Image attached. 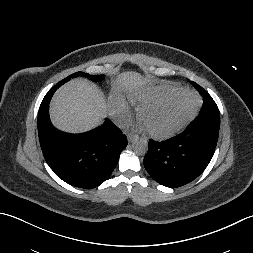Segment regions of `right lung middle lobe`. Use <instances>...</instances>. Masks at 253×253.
Masks as SVG:
<instances>
[{
	"instance_id": "obj_1",
	"label": "right lung middle lobe",
	"mask_w": 253,
	"mask_h": 253,
	"mask_svg": "<svg viewBox=\"0 0 253 253\" xmlns=\"http://www.w3.org/2000/svg\"><path fill=\"white\" fill-rule=\"evenodd\" d=\"M77 76H84L92 81H102L104 79V75H89V74L83 73V72H76V73H73L70 76L66 77L65 79L60 81L58 84H56L55 85L56 88H59L61 85H63L67 81H69L72 77H77Z\"/></svg>"
}]
</instances>
